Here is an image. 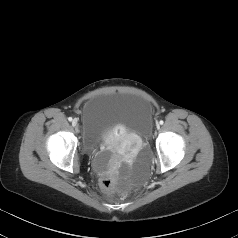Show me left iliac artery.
Here are the masks:
<instances>
[{"label": "left iliac artery", "instance_id": "1", "mask_svg": "<svg viewBox=\"0 0 238 238\" xmlns=\"http://www.w3.org/2000/svg\"><path fill=\"white\" fill-rule=\"evenodd\" d=\"M159 123H160V125H163L164 121H163V120H160V122H159Z\"/></svg>", "mask_w": 238, "mask_h": 238}]
</instances>
